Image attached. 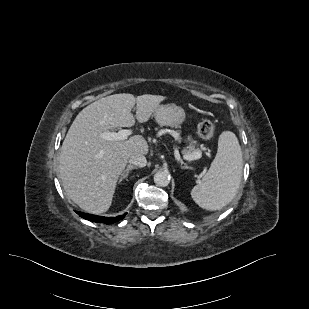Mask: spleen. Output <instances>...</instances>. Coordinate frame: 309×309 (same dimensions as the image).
<instances>
[{
  "instance_id": "obj_1",
  "label": "spleen",
  "mask_w": 309,
  "mask_h": 309,
  "mask_svg": "<svg viewBox=\"0 0 309 309\" xmlns=\"http://www.w3.org/2000/svg\"><path fill=\"white\" fill-rule=\"evenodd\" d=\"M242 168V152L236 135L231 131L222 132L215 159L208 172L193 187L191 197L203 209H222L238 191Z\"/></svg>"
}]
</instances>
